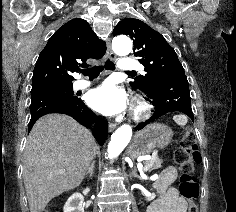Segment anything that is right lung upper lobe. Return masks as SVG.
Listing matches in <instances>:
<instances>
[{
	"label": "right lung upper lobe",
	"instance_id": "1",
	"mask_svg": "<svg viewBox=\"0 0 236 212\" xmlns=\"http://www.w3.org/2000/svg\"><path fill=\"white\" fill-rule=\"evenodd\" d=\"M105 52L106 43L97 37L86 20L68 21L41 51L33 71L32 90L72 85L71 73L79 66L88 67L87 59H100Z\"/></svg>",
	"mask_w": 236,
	"mask_h": 212
}]
</instances>
